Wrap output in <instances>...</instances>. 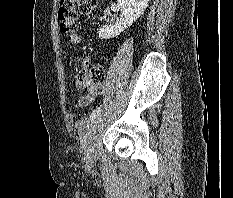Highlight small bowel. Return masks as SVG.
<instances>
[{
	"mask_svg": "<svg viewBox=\"0 0 233 198\" xmlns=\"http://www.w3.org/2000/svg\"><path fill=\"white\" fill-rule=\"evenodd\" d=\"M84 64H88V61L85 60ZM100 94V89L98 88L97 90H95L94 92H89L87 94L81 95L79 96L78 100H77V104L79 107H86L89 104H91L92 102H94V100L98 97V95Z\"/></svg>",
	"mask_w": 233,
	"mask_h": 198,
	"instance_id": "c3829d8e",
	"label": "small bowel"
}]
</instances>
